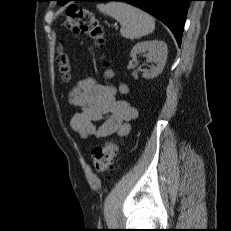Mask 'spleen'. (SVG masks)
Segmentation results:
<instances>
[{"instance_id": "spleen-1", "label": "spleen", "mask_w": 231, "mask_h": 231, "mask_svg": "<svg viewBox=\"0 0 231 231\" xmlns=\"http://www.w3.org/2000/svg\"><path fill=\"white\" fill-rule=\"evenodd\" d=\"M97 9L120 25V34L127 39H138L152 33L155 20L148 13L124 2H109L98 4Z\"/></svg>"}]
</instances>
